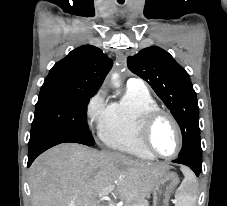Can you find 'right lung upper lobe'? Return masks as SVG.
Returning a JSON list of instances; mask_svg holds the SVG:
<instances>
[{
    "mask_svg": "<svg viewBox=\"0 0 227 206\" xmlns=\"http://www.w3.org/2000/svg\"><path fill=\"white\" fill-rule=\"evenodd\" d=\"M112 60L101 49L84 45L57 62L43 87H58L95 93L112 67Z\"/></svg>",
    "mask_w": 227,
    "mask_h": 206,
    "instance_id": "obj_1",
    "label": "right lung upper lobe"
}]
</instances>
